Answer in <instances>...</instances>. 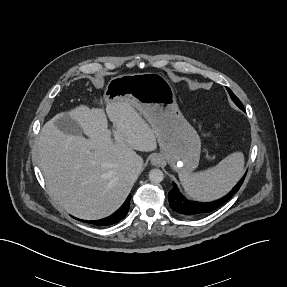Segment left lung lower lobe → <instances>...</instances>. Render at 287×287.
Returning <instances> with one entry per match:
<instances>
[{"mask_svg": "<svg viewBox=\"0 0 287 287\" xmlns=\"http://www.w3.org/2000/svg\"><path fill=\"white\" fill-rule=\"evenodd\" d=\"M244 110V109H243ZM246 173L243 178L237 183V185L224 197L213 202H197L186 199L177 188V185L173 182V187L168 193V200L170 207L173 211L183 217H199L206 215L227 202L241 187Z\"/></svg>", "mask_w": 287, "mask_h": 287, "instance_id": "0a47b994", "label": "left lung lower lobe"}]
</instances>
